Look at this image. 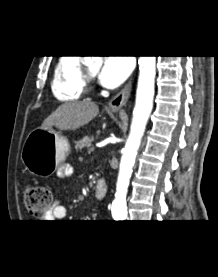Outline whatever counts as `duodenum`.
I'll list each match as a JSON object with an SVG mask.
<instances>
[{
	"mask_svg": "<svg viewBox=\"0 0 218 277\" xmlns=\"http://www.w3.org/2000/svg\"><path fill=\"white\" fill-rule=\"evenodd\" d=\"M95 195L98 199L105 198L107 194V183L103 179H98L94 185Z\"/></svg>",
	"mask_w": 218,
	"mask_h": 277,
	"instance_id": "obj_1",
	"label": "duodenum"
}]
</instances>
